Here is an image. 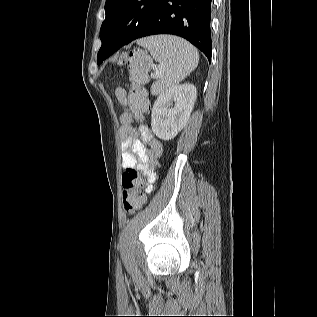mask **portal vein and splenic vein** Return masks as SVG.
<instances>
[{
  "label": "portal vein and splenic vein",
  "mask_w": 317,
  "mask_h": 317,
  "mask_svg": "<svg viewBox=\"0 0 317 317\" xmlns=\"http://www.w3.org/2000/svg\"><path fill=\"white\" fill-rule=\"evenodd\" d=\"M154 77H155V78H160V77H162V73L159 72V71H156V72L154 73Z\"/></svg>",
  "instance_id": "obj_1"
}]
</instances>
